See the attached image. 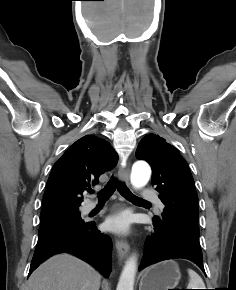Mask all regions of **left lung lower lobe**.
I'll return each mask as SVG.
<instances>
[{"mask_svg":"<svg viewBox=\"0 0 236 290\" xmlns=\"http://www.w3.org/2000/svg\"><path fill=\"white\" fill-rule=\"evenodd\" d=\"M153 225L154 232L145 244L140 270L162 260L183 258L194 262L205 272L199 235L170 222L153 220Z\"/></svg>","mask_w":236,"mask_h":290,"instance_id":"obj_1","label":"left lung lower lobe"}]
</instances>
